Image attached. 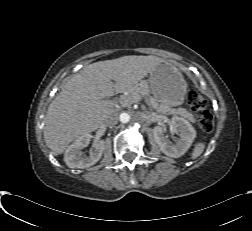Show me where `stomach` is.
<instances>
[{
    "label": "stomach",
    "mask_w": 252,
    "mask_h": 231,
    "mask_svg": "<svg viewBox=\"0 0 252 231\" xmlns=\"http://www.w3.org/2000/svg\"><path fill=\"white\" fill-rule=\"evenodd\" d=\"M149 74V88L161 107L171 108L184 102L187 83L175 66L162 61Z\"/></svg>",
    "instance_id": "obj_1"
}]
</instances>
